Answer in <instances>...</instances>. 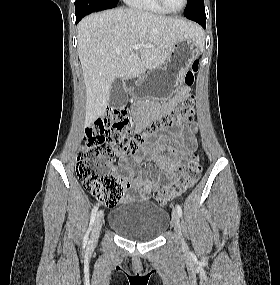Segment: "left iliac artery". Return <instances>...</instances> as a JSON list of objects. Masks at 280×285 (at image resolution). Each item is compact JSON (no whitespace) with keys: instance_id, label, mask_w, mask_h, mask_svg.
<instances>
[{"instance_id":"44dca946","label":"left iliac artery","mask_w":280,"mask_h":285,"mask_svg":"<svg viewBox=\"0 0 280 285\" xmlns=\"http://www.w3.org/2000/svg\"><path fill=\"white\" fill-rule=\"evenodd\" d=\"M176 210H177L179 216L181 217L182 216V208L179 204L176 205Z\"/></svg>"}]
</instances>
